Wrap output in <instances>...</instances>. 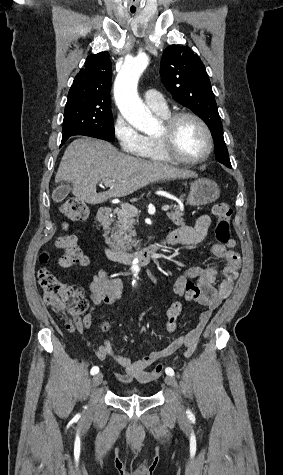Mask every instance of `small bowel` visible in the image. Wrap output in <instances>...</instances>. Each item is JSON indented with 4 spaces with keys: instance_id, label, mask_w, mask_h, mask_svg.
<instances>
[{
    "instance_id": "obj_1",
    "label": "small bowel",
    "mask_w": 283,
    "mask_h": 475,
    "mask_svg": "<svg viewBox=\"0 0 283 475\" xmlns=\"http://www.w3.org/2000/svg\"><path fill=\"white\" fill-rule=\"evenodd\" d=\"M211 227V218L208 215H201L197 218L193 226H182L170 233L166 240V245L197 246L202 244L208 237ZM235 242L232 240L228 244L213 243L211 245L212 254L225 262L221 273L222 281L216 287L215 282L219 275L217 268L208 266L206 268L191 266L180 275L173 286L177 295H181L183 279H192L198 276L201 279L205 293L199 296L198 304L204 309L199 313L195 327L187 334L177 336L174 341L162 350L152 351L141 359L132 360L129 357L116 353L113 350L109 339H103L102 344L96 349L95 355L99 360L111 359L119 372L114 373V377L121 383L138 381L148 383L158 379L164 369L163 360L180 347H184V355L190 356L196 348L199 338L210 321L213 313L227 299L234 288L238 278L241 258L238 253L232 250ZM91 308L85 315L83 327L89 328L92 322V310L102 305H111L118 302L122 297L123 284L117 277H111L104 270H101L90 284ZM170 312V308L167 312ZM181 313V311H179ZM168 318V317H167ZM156 364L155 367L147 371V368Z\"/></svg>"
}]
</instances>
